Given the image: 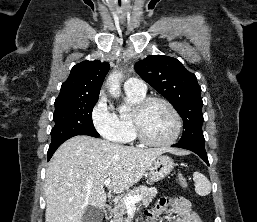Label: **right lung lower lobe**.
<instances>
[{"label":"right lung lower lobe","mask_w":257,"mask_h":222,"mask_svg":"<svg viewBox=\"0 0 257 222\" xmlns=\"http://www.w3.org/2000/svg\"><path fill=\"white\" fill-rule=\"evenodd\" d=\"M65 141H66V140H65ZM63 142H64V141L49 146V150H48V153H47L48 161L50 160V158L52 157V155L54 154V152L56 151V149H57Z\"/></svg>","instance_id":"98d812e1"}]
</instances>
